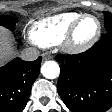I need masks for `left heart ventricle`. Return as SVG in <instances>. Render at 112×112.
Listing matches in <instances>:
<instances>
[{
    "mask_svg": "<svg viewBox=\"0 0 112 112\" xmlns=\"http://www.w3.org/2000/svg\"><path fill=\"white\" fill-rule=\"evenodd\" d=\"M97 30V22L94 18H85L77 28L75 40L77 43H85L90 40Z\"/></svg>",
    "mask_w": 112,
    "mask_h": 112,
    "instance_id": "obj_1",
    "label": "left heart ventricle"
}]
</instances>
